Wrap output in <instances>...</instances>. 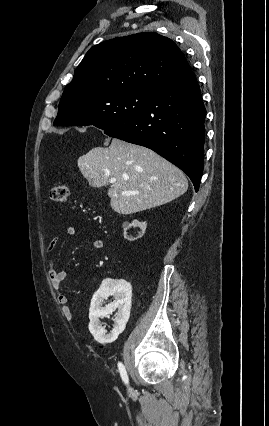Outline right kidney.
I'll return each instance as SVG.
<instances>
[{
    "mask_svg": "<svg viewBox=\"0 0 269 426\" xmlns=\"http://www.w3.org/2000/svg\"><path fill=\"white\" fill-rule=\"evenodd\" d=\"M138 227L141 233L137 237L128 235L127 230L131 227ZM124 238L128 241H135L140 238L146 229V224L138 222L137 220L132 223L124 222L123 225ZM131 285L124 280H112L106 279L101 284L98 291L93 296L90 313H89V331L93 335L94 339L99 343L112 342L119 331L125 326V323L129 316V309L131 304ZM109 296L114 297V301L105 307H102L103 301ZM118 308V314L116 318L115 327L112 334L107 335L106 330L102 327L99 318L107 316L113 309Z\"/></svg>",
    "mask_w": 269,
    "mask_h": 426,
    "instance_id": "obj_1",
    "label": "right kidney"
}]
</instances>
